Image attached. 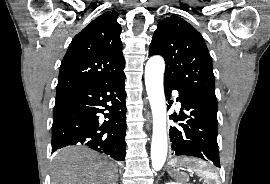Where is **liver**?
I'll use <instances>...</instances> for the list:
<instances>
[{"label":"liver","mask_w":270,"mask_h":184,"mask_svg":"<svg viewBox=\"0 0 270 184\" xmlns=\"http://www.w3.org/2000/svg\"><path fill=\"white\" fill-rule=\"evenodd\" d=\"M52 184H117V165L85 147H68L56 153Z\"/></svg>","instance_id":"6515ba94"}]
</instances>
